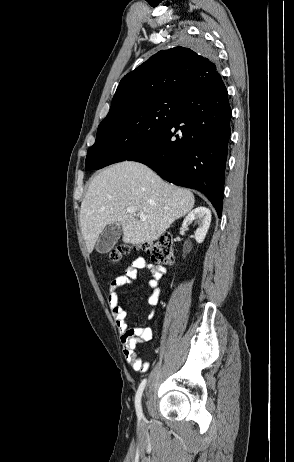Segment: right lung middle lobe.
I'll return each instance as SVG.
<instances>
[{"instance_id":"obj_1","label":"right lung middle lobe","mask_w":294,"mask_h":462,"mask_svg":"<svg viewBox=\"0 0 294 462\" xmlns=\"http://www.w3.org/2000/svg\"><path fill=\"white\" fill-rule=\"evenodd\" d=\"M185 45L204 54L213 49L202 38H184ZM184 97L164 95L109 113L100 123L87 156L99 154L105 166L126 160L141 144L161 132L180 109Z\"/></svg>"}]
</instances>
